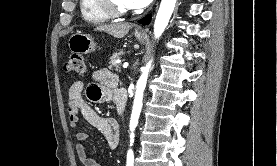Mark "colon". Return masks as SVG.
<instances>
[{
    "mask_svg": "<svg viewBox=\"0 0 277 166\" xmlns=\"http://www.w3.org/2000/svg\"><path fill=\"white\" fill-rule=\"evenodd\" d=\"M84 68L83 57L77 53L71 54L64 63V70L68 73L81 74Z\"/></svg>",
    "mask_w": 277,
    "mask_h": 166,
    "instance_id": "colon-1",
    "label": "colon"
}]
</instances>
